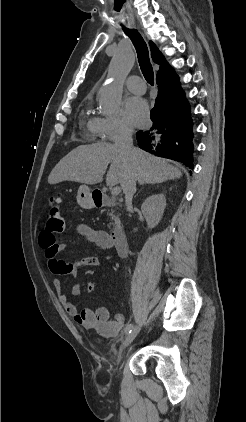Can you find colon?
<instances>
[{
  "mask_svg": "<svg viewBox=\"0 0 246 422\" xmlns=\"http://www.w3.org/2000/svg\"><path fill=\"white\" fill-rule=\"evenodd\" d=\"M47 228L53 232H61L64 228L62 200L60 196H54L50 199Z\"/></svg>",
  "mask_w": 246,
  "mask_h": 422,
  "instance_id": "colon-1",
  "label": "colon"
}]
</instances>
